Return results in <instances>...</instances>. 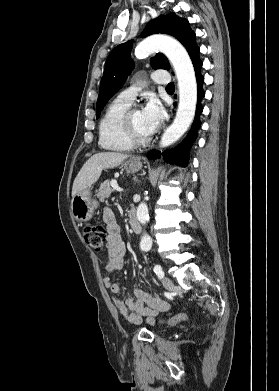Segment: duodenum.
I'll return each instance as SVG.
<instances>
[{
    "instance_id": "1",
    "label": "duodenum",
    "mask_w": 279,
    "mask_h": 391,
    "mask_svg": "<svg viewBox=\"0 0 279 391\" xmlns=\"http://www.w3.org/2000/svg\"><path fill=\"white\" fill-rule=\"evenodd\" d=\"M128 220L130 227L134 233H140L142 230L141 224L136 216V212L133 209L128 211Z\"/></svg>"
}]
</instances>
